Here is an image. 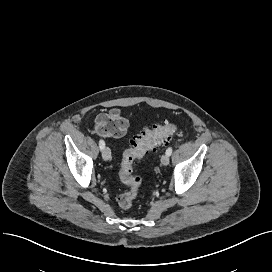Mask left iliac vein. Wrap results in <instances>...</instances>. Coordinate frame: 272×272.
Returning <instances> with one entry per match:
<instances>
[{"instance_id": "4c4485c4", "label": "left iliac vein", "mask_w": 272, "mask_h": 272, "mask_svg": "<svg viewBox=\"0 0 272 272\" xmlns=\"http://www.w3.org/2000/svg\"><path fill=\"white\" fill-rule=\"evenodd\" d=\"M169 161H170V158H169V156L167 154L162 155V157H161V163L164 166H167L169 164Z\"/></svg>"}]
</instances>
